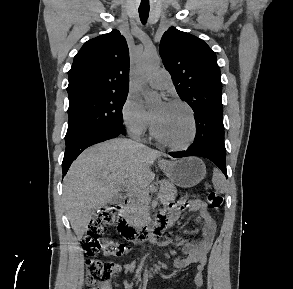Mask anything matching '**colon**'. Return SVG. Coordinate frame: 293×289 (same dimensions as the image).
I'll list each match as a JSON object with an SVG mask.
<instances>
[{"mask_svg": "<svg viewBox=\"0 0 293 289\" xmlns=\"http://www.w3.org/2000/svg\"><path fill=\"white\" fill-rule=\"evenodd\" d=\"M210 206L219 211L223 199L215 191H208L206 195ZM118 211L117 206L100 210L90 221L86 234L81 240V245L88 256L86 260V284L89 289H109L112 279L118 274L120 268L112 261H103L96 258L100 250L107 254L123 256L129 252V247L123 243L101 239L105 228L109 226Z\"/></svg>", "mask_w": 293, "mask_h": 289, "instance_id": "1", "label": "colon"}]
</instances>
